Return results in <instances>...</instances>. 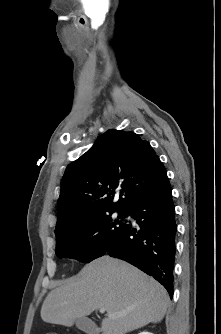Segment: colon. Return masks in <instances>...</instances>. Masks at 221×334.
Returning <instances> with one entry per match:
<instances>
[{
    "instance_id": "5ec220e1",
    "label": "colon",
    "mask_w": 221,
    "mask_h": 334,
    "mask_svg": "<svg viewBox=\"0 0 221 334\" xmlns=\"http://www.w3.org/2000/svg\"><path fill=\"white\" fill-rule=\"evenodd\" d=\"M47 334H55V333H47Z\"/></svg>"
}]
</instances>
